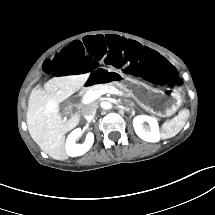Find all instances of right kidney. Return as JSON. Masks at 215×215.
<instances>
[{"mask_svg":"<svg viewBox=\"0 0 215 215\" xmlns=\"http://www.w3.org/2000/svg\"><path fill=\"white\" fill-rule=\"evenodd\" d=\"M82 134L81 128L73 130L66 140V153L70 157L81 156L85 154L93 145L94 135L89 132L86 135L85 142L83 144H76L75 141Z\"/></svg>","mask_w":215,"mask_h":215,"instance_id":"obj_1","label":"right kidney"}]
</instances>
